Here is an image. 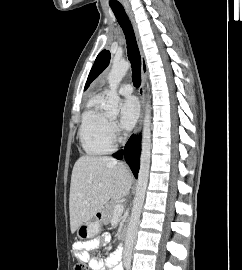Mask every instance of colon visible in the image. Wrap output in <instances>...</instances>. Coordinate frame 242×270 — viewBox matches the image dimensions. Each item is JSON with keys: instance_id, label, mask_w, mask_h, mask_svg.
Listing matches in <instances>:
<instances>
[{"instance_id": "5ec220e1", "label": "colon", "mask_w": 242, "mask_h": 270, "mask_svg": "<svg viewBox=\"0 0 242 270\" xmlns=\"http://www.w3.org/2000/svg\"><path fill=\"white\" fill-rule=\"evenodd\" d=\"M75 270H90L87 266L82 264H77L74 268Z\"/></svg>"}]
</instances>
